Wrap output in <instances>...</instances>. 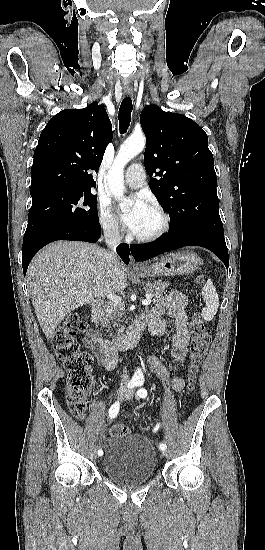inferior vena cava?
<instances>
[{
    "mask_svg": "<svg viewBox=\"0 0 265 550\" xmlns=\"http://www.w3.org/2000/svg\"><path fill=\"white\" fill-rule=\"evenodd\" d=\"M103 234L106 244L108 245V250L105 251L104 257L110 268V272H113L114 265L117 261V256L115 249L118 244L122 241V236L119 233L118 226L116 224L110 223L103 226ZM129 380V376L126 370H123L122 382L126 383Z\"/></svg>",
    "mask_w": 265,
    "mask_h": 550,
    "instance_id": "602c4592",
    "label": "inferior vena cava"
}]
</instances>
